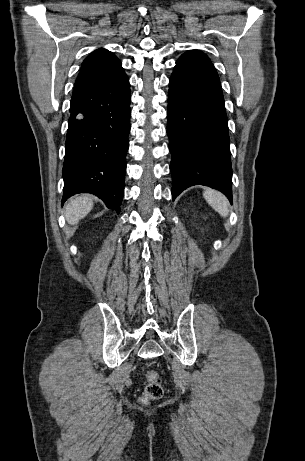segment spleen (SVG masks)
Segmentation results:
<instances>
[{"label": "spleen", "mask_w": 305, "mask_h": 461, "mask_svg": "<svg viewBox=\"0 0 305 461\" xmlns=\"http://www.w3.org/2000/svg\"><path fill=\"white\" fill-rule=\"evenodd\" d=\"M203 196L207 203L221 216L226 217L228 215V201L222 193L213 189H206Z\"/></svg>", "instance_id": "1"}]
</instances>
